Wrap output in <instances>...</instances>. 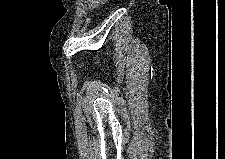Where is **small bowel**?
Segmentation results:
<instances>
[{
    "instance_id": "obj_1",
    "label": "small bowel",
    "mask_w": 225,
    "mask_h": 159,
    "mask_svg": "<svg viewBox=\"0 0 225 159\" xmlns=\"http://www.w3.org/2000/svg\"><path fill=\"white\" fill-rule=\"evenodd\" d=\"M99 1H91L90 3H89V8L90 9H94V8H96L98 5H99Z\"/></svg>"
}]
</instances>
